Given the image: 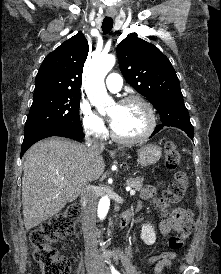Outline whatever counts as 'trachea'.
I'll list each match as a JSON object with an SVG mask.
<instances>
[{
	"instance_id": "obj_1",
	"label": "trachea",
	"mask_w": 221,
	"mask_h": 274,
	"mask_svg": "<svg viewBox=\"0 0 221 274\" xmlns=\"http://www.w3.org/2000/svg\"><path fill=\"white\" fill-rule=\"evenodd\" d=\"M113 27V19L111 17H105L102 23V30L105 34L109 33Z\"/></svg>"
}]
</instances>
